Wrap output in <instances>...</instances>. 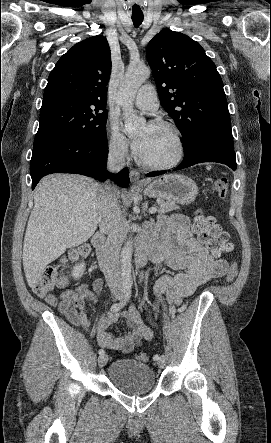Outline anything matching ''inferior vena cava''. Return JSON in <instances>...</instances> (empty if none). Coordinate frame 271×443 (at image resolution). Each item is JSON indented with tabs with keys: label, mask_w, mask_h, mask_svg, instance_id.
I'll use <instances>...</instances> for the list:
<instances>
[{
	"label": "inferior vena cava",
	"mask_w": 271,
	"mask_h": 443,
	"mask_svg": "<svg viewBox=\"0 0 271 443\" xmlns=\"http://www.w3.org/2000/svg\"><path fill=\"white\" fill-rule=\"evenodd\" d=\"M128 148L125 142H113L110 144L107 170L109 172H120L125 166V156ZM102 212L99 214L100 231L107 233L106 245L101 255L100 263L102 271L106 277L112 296H125L124 286L120 273V251L124 237H126L127 227L118 204L119 192L113 184H103L101 186Z\"/></svg>",
	"instance_id": "inferior-vena-cava-1"
}]
</instances>
